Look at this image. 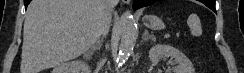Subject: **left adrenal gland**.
Returning <instances> with one entry per match:
<instances>
[{"label":"left adrenal gland","mask_w":244,"mask_h":73,"mask_svg":"<svg viewBox=\"0 0 244 73\" xmlns=\"http://www.w3.org/2000/svg\"><path fill=\"white\" fill-rule=\"evenodd\" d=\"M142 38H143V41H147V40H149V39H151V40H155V36L152 35V34H149L148 31H147L146 29L144 30V33H143Z\"/></svg>","instance_id":"left-adrenal-gland-1"}]
</instances>
